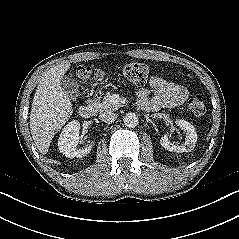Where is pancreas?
I'll use <instances>...</instances> for the list:
<instances>
[{
    "instance_id": "1",
    "label": "pancreas",
    "mask_w": 239,
    "mask_h": 239,
    "mask_svg": "<svg viewBox=\"0 0 239 239\" xmlns=\"http://www.w3.org/2000/svg\"><path fill=\"white\" fill-rule=\"evenodd\" d=\"M121 106L122 105L119 102L113 101L112 95L110 94L105 95L102 101H98L95 103V107L100 113L115 111Z\"/></svg>"
}]
</instances>
